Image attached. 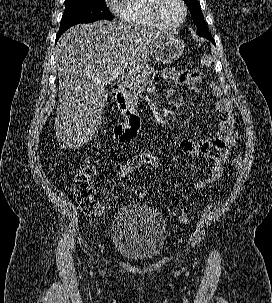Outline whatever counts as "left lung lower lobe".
<instances>
[{"label":"left lung lower lobe","mask_w":272,"mask_h":303,"mask_svg":"<svg viewBox=\"0 0 272 303\" xmlns=\"http://www.w3.org/2000/svg\"><path fill=\"white\" fill-rule=\"evenodd\" d=\"M207 39L210 40L213 44H215V41H214L213 37H209Z\"/></svg>","instance_id":"1"}]
</instances>
